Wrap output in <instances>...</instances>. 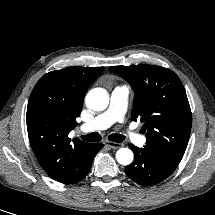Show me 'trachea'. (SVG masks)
I'll return each mask as SVG.
<instances>
[{
  "instance_id": "1",
  "label": "trachea",
  "mask_w": 215,
  "mask_h": 215,
  "mask_svg": "<svg viewBox=\"0 0 215 215\" xmlns=\"http://www.w3.org/2000/svg\"><path fill=\"white\" fill-rule=\"evenodd\" d=\"M81 138L87 142H98V141L102 140V137L99 133H90L88 135L81 136ZM109 140L113 141V142L120 143V142H123L125 140V136L120 135V134H111L109 136Z\"/></svg>"
}]
</instances>
